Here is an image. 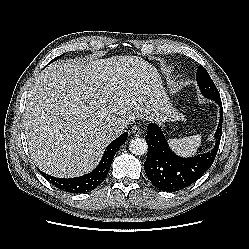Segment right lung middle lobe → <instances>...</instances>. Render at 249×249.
Wrapping results in <instances>:
<instances>
[{
	"label": "right lung middle lobe",
	"instance_id": "1",
	"mask_svg": "<svg viewBox=\"0 0 249 249\" xmlns=\"http://www.w3.org/2000/svg\"><path fill=\"white\" fill-rule=\"evenodd\" d=\"M64 54H62L61 56H63ZM61 56H58V57H56L55 59H53L51 62H53V61H55V60H57L58 58H60ZM50 62V63H51Z\"/></svg>",
	"mask_w": 249,
	"mask_h": 249
}]
</instances>
